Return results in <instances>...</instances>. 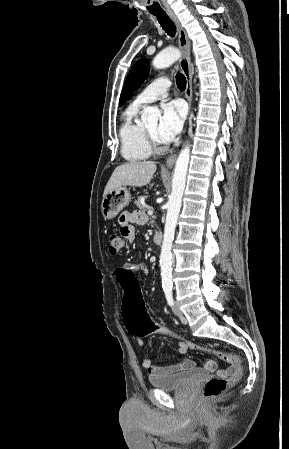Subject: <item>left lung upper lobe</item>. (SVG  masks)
<instances>
[{
    "label": "left lung upper lobe",
    "instance_id": "5c2ea615",
    "mask_svg": "<svg viewBox=\"0 0 289 449\" xmlns=\"http://www.w3.org/2000/svg\"><path fill=\"white\" fill-rule=\"evenodd\" d=\"M148 73L149 64L147 59H140L134 64L122 89L119 105H123L129 99L133 91L140 87Z\"/></svg>",
    "mask_w": 289,
    "mask_h": 449
}]
</instances>
